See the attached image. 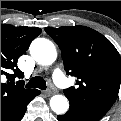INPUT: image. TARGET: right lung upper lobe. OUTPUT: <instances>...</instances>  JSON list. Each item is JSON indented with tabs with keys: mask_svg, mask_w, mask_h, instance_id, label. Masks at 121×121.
<instances>
[{
	"mask_svg": "<svg viewBox=\"0 0 121 121\" xmlns=\"http://www.w3.org/2000/svg\"><path fill=\"white\" fill-rule=\"evenodd\" d=\"M41 33V29L34 27L1 24V75L8 80L16 77L23 78L24 73L17 67L18 58L28 49L31 41ZM13 70L14 74L8 71ZM17 82L16 86L10 83H1V118L16 107L21 100L35 89H24Z\"/></svg>",
	"mask_w": 121,
	"mask_h": 121,
	"instance_id": "right-lung-upper-lobe-1",
	"label": "right lung upper lobe"
}]
</instances>
